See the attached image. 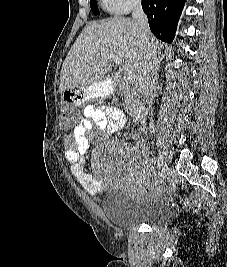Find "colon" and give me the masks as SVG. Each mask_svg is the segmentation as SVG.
Masks as SVG:
<instances>
[{
    "instance_id": "1",
    "label": "colon",
    "mask_w": 227,
    "mask_h": 267,
    "mask_svg": "<svg viewBox=\"0 0 227 267\" xmlns=\"http://www.w3.org/2000/svg\"><path fill=\"white\" fill-rule=\"evenodd\" d=\"M75 104H66L60 115V130H71V126L76 119H80L81 115L78 114V110H70L69 106Z\"/></svg>"
}]
</instances>
